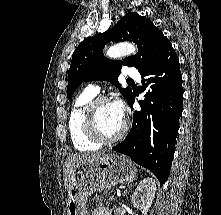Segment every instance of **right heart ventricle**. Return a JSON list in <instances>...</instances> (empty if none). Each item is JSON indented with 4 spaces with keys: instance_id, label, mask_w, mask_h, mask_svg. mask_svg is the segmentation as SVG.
<instances>
[{
    "instance_id": "obj_1",
    "label": "right heart ventricle",
    "mask_w": 221,
    "mask_h": 215,
    "mask_svg": "<svg viewBox=\"0 0 221 215\" xmlns=\"http://www.w3.org/2000/svg\"><path fill=\"white\" fill-rule=\"evenodd\" d=\"M95 95L87 91L80 93L72 102L68 116V132L74 148L80 152H91L99 148L100 144L90 140L82 128V114L87 103Z\"/></svg>"
}]
</instances>
